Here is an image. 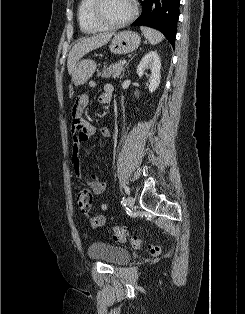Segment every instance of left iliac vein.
<instances>
[{
    "label": "left iliac vein",
    "instance_id": "4c4485c4",
    "mask_svg": "<svg viewBox=\"0 0 245 314\" xmlns=\"http://www.w3.org/2000/svg\"><path fill=\"white\" fill-rule=\"evenodd\" d=\"M134 203H135L134 198H133L132 196H129V197L127 198V205H128L130 208H132V207L134 206Z\"/></svg>",
    "mask_w": 245,
    "mask_h": 314
}]
</instances>
